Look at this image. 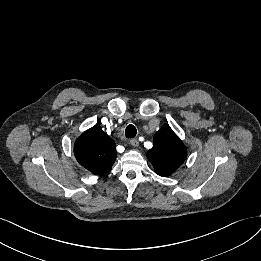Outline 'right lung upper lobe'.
<instances>
[{
  "label": "right lung upper lobe",
  "mask_w": 261,
  "mask_h": 261,
  "mask_svg": "<svg viewBox=\"0 0 261 261\" xmlns=\"http://www.w3.org/2000/svg\"><path fill=\"white\" fill-rule=\"evenodd\" d=\"M74 154L84 168L94 175H104L111 170L115 162V143L100 126L95 125L77 139Z\"/></svg>",
  "instance_id": "right-lung-upper-lobe-1"
}]
</instances>
